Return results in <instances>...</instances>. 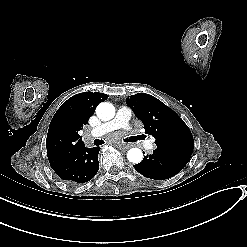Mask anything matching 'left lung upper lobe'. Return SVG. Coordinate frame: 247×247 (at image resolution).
Returning a JSON list of instances; mask_svg holds the SVG:
<instances>
[{
    "label": "left lung upper lobe",
    "mask_w": 247,
    "mask_h": 247,
    "mask_svg": "<svg viewBox=\"0 0 247 247\" xmlns=\"http://www.w3.org/2000/svg\"><path fill=\"white\" fill-rule=\"evenodd\" d=\"M126 103L143 122L145 133L156 139L158 149L190 160L194 148L192 133L171 108L146 93L132 95Z\"/></svg>",
    "instance_id": "1"
}]
</instances>
